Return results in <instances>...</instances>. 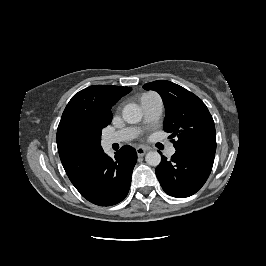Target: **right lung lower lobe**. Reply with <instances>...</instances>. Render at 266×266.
<instances>
[{
    "label": "right lung lower lobe",
    "instance_id": "obj_1",
    "mask_svg": "<svg viewBox=\"0 0 266 266\" xmlns=\"http://www.w3.org/2000/svg\"><path fill=\"white\" fill-rule=\"evenodd\" d=\"M137 154L131 146H123L114 158L102 152L85 181L76 187L93 204L111 206L128 194Z\"/></svg>",
    "mask_w": 266,
    "mask_h": 266
}]
</instances>
